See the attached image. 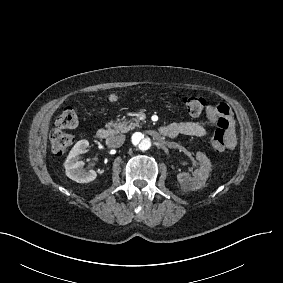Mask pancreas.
<instances>
[{"mask_svg":"<svg viewBox=\"0 0 283 283\" xmlns=\"http://www.w3.org/2000/svg\"><path fill=\"white\" fill-rule=\"evenodd\" d=\"M139 126V121L135 118L129 121H123V122H109L106 124V128L108 131L113 135L117 134L119 132L127 133L129 130L134 129L135 127Z\"/></svg>","mask_w":283,"mask_h":283,"instance_id":"cf45deb5","label":"pancreas"}]
</instances>
